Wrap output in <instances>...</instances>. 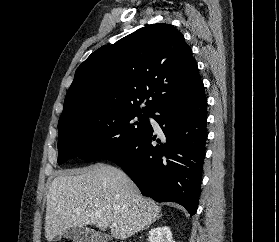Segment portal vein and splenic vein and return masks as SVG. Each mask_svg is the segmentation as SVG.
Masks as SVG:
<instances>
[{
  "mask_svg": "<svg viewBox=\"0 0 279 242\" xmlns=\"http://www.w3.org/2000/svg\"><path fill=\"white\" fill-rule=\"evenodd\" d=\"M98 216H100V214H98ZM112 225H113V226H116V223H113Z\"/></svg>",
  "mask_w": 279,
  "mask_h": 242,
  "instance_id": "1",
  "label": "portal vein and splenic vein"
}]
</instances>
